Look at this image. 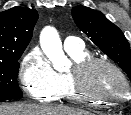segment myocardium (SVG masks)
Here are the masks:
<instances>
[{"label":"myocardium","instance_id":"f54148a6","mask_svg":"<svg viewBox=\"0 0 131 115\" xmlns=\"http://www.w3.org/2000/svg\"><path fill=\"white\" fill-rule=\"evenodd\" d=\"M105 66L113 70L123 81L125 85L126 95L121 98H107L100 94H97L89 89L88 86V76L89 73L96 66ZM70 87L73 94L82 100L92 101L98 104L104 105H115L118 103H123L126 98L131 94V88L128 79L122 70L115 65L113 62L99 57H90L74 65L72 71L69 73Z\"/></svg>","mask_w":131,"mask_h":115}]
</instances>
